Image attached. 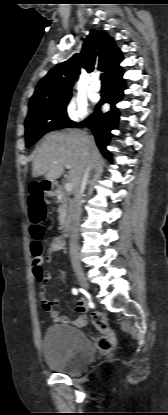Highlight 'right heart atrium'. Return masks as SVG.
<instances>
[{
	"mask_svg": "<svg viewBox=\"0 0 168 415\" xmlns=\"http://www.w3.org/2000/svg\"><path fill=\"white\" fill-rule=\"evenodd\" d=\"M64 116L70 123L83 122L88 116L87 104L80 100H71L64 108Z\"/></svg>",
	"mask_w": 168,
	"mask_h": 415,
	"instance_id": "obj_1",
	"label": "right heart atrium"
}]
</instances>
